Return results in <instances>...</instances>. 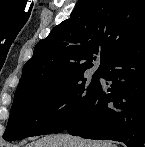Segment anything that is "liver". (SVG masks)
Segmentation results:
<instances>
[{
    "instance_id": "6515ba94",
    "label": "liver",
    "mask_w": 145,
    "mask_h": 147,
    "mask_svg": "<svg viewBox=\"0 0 145 147\" xmlns=\"http://www.w3.org/2000/svg\"><path fill=\"white\" fill-rule=\"evenodd\" d=\"M26 147H117L111 142L85 140L80 137L62 135H48L27 144Z\"/></svg>"
}]
</instances>
